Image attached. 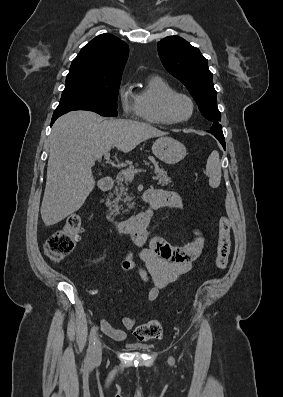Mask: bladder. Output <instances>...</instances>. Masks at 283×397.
I'll return each instance as SVG.
<instances>
[{"instance_id": "bladder-1", "label": "bladder", "mask_w": 283, "mask_h": 397, "mask_svg": "<svg viewBox=\"0 0 283 397\" xmlns=\"http://www.w3.org/2000/svg\"><path fill=\"white\" fill-rule=\"evenodd\" d=\"M131 347L133 349H148L149 348V346L143 345V344H133Z\"/></svg>"}]
</instances>
